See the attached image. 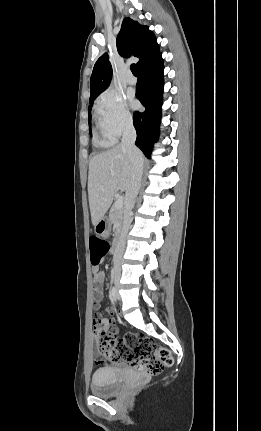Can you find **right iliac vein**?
I'll list each match as a JSON object with an SVG mask.
<instances>
[{
  "mask_svg": "<svg viewBox=\"0 0 261 431\" xmlns=\"http://www.w3.org/2000/svg\"><path fill=\"white\" fill-rule=\"evenodd\" d=\"M115 287H116V291H118V289H119V277H115ZM117 298L119 299L118 293H117Z\"/></svg>",
  "mask_w": 261,
  "mask_h": 431,
  "instance_id": "63e3f726",
  "label": "right iliac vein"
}]
</instances>
